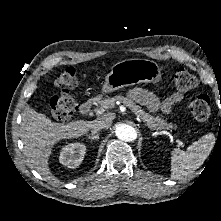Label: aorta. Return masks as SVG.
Listing matches in <instances>:
<instances>
[{
    "label": "aorta",
    "mask_w": 221,
    "mask_h": 221,
    "mask_svg": "<svg viewBox=\"0 0 221 221\" xmlns=\"http://www.w3.org/2000/svg\"><path fill=\"white\" fill-rule=\"evenodd\" d=\"M116 136L123 141H134L137 138L136 130L127 124H119L115 129Z\"/></svg>",
    "instance_id": "aorta-1"
}]
</instances>
